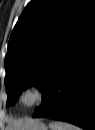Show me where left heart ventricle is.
Returning <instances> with one entry per match:
<instances>
[{
  "label": "left heart ventricle",
  "mask_w": 95,
  "mask_h": 130,
  "mask_svg": "<svg viewBox=\"0 0 95 130\" xmlns=\"http://www.w3.org/2000/svg\"><path fill=\"white\" fill-rule=\"evenodd\" d=\"M34 100V94L29 92V93H26L23 98H22V102L24 104H30L31 102H33Z\"/></svg>",
  "instance_id": "obj_1"
}]
</instances>
